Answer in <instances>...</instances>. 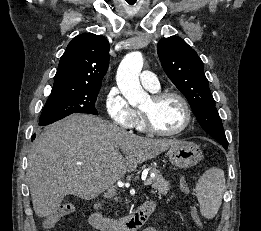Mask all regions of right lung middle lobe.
<instances>
[{
  "label": "right lung middle lobe",
  "instance_id": "right-lung-middle-lobe-1",
  "mask_svg": "<svg viewBox=\"0 0 261 231\" xmlns=\"http://www.w3.org/2000/svg\"><path fill=\"white\" fill-rule=\"evenodd\" d=\"M99 88L52 89L43 108L39 125L46 126L72 113L98 115L95 102Z\"/></svg>",
  "mask_w": 261,
  "mask_h": 231
}]
</instances>
